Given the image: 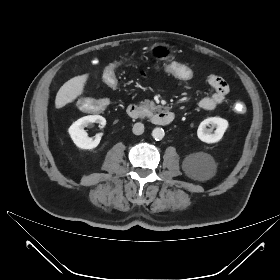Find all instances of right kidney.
Segmentation results:
<instances>
[{
  "instance_id": "1",
  "label": "right kidney",
  "mask_w": 280,
  "mask_h": 280,
  "mask_svg": "<svg viewBox=\"0 0 280 280\" xmlns=\"http://www.w3.org/2000/svg\"><path fill=\"white\" fill-rule=\"evenodd\" d=\"M93 123H98L99 125L104 126L106 120L100 115H88L78 119L69 127L68 132L77 147L81 149H94L98 146L101 140V135L98 134L95 138H91L84 130V127Z\"/></svg>"
}]
</instances>
